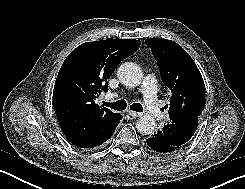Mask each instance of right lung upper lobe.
I'll return each mask as SVG.
<instances>
[{
  "instance_id": "cb5924a9",
  "label": "right lung upper lobe",
  "mask_w": 245,
  "mask_h": 189,
  "mask_svg": "<svg viewBox=\"0 0 245 189\" xmlns=\"http://www.w3.org/2000/svg\"><path fill=\"white\" fill-rule=\"evenodd\" d=\"M140 44L136 39L86 42L65 59L55 81L53 106L60 127L72 144H90L115 131L122 115L99 107L95 99L108 89L107 80L117 65ZM99 121L103 133L98 130Z\"/></svg>"
}]
</instances>
